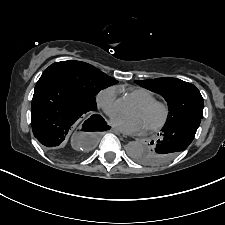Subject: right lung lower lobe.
Here are the masks:
<instances>
[{"mask_svg":"<svg viewBox=\"0 0 225 225\" xmlns=\"http://www.w3.org/2000/svg\"><path fill=\"white\" fill-rule=\"evenodd\" d=\"M93 110L60 82L40 78L35 86L31 106V124L35 138L48 149L59 147L74 123ZM91 131L109 129L104 120L93 114ZM89 120V119H88Z\"/></svg>","mask_w":225,"mask_h":225,"instance_id":"obj_1","label":"right lung lower lobe"}]
</instances>
